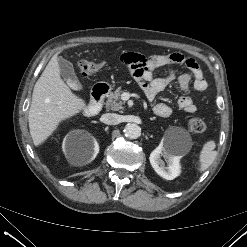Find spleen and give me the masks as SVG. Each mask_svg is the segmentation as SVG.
<instances>
[{
    "instance_id": "obj_1",
    "label": "spleen",
    "mask_w": 247,
    "mask_h": 247,
    "mask_svg": "<svg viewBox=\"0 0 247 247\" xmlns=\"http://www.w3.org/2000/svg\"><path fill=\"white\" fill-rule=\"evenodd\" d=\"M216 147V143L212 140L207 141L204 145L203 148L200 152V156H199V171L203 172L206 169L209 168V166L213 163V161L216 158V151H214Z\"/></svg>"
}]
</instances>
